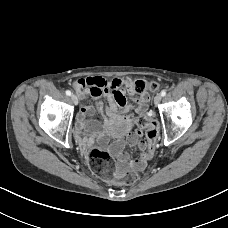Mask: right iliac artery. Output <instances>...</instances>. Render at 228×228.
<instances>
[{
	"mask_svg": "<svg viewBox=\"0 0 228 228\" xmlns=\"http://www.w3.org/2000/svg\"><path fill=\"white\" fill-rule=\"evenodd\" d=\"M66 95H67V96H70V95H71V91L66 90Z\"/></svg>",
	"mask_w": 228,
	"mask_h": 228,
	"instance_id": "right-iliac-artery-1",
	"label": "right iliac artery"
}]
</instances>
